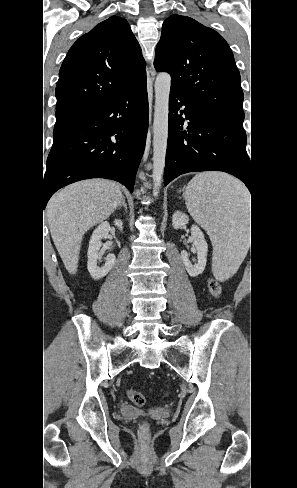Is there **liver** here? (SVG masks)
Instances as JSON below:
<instances>
[{
  "label": "liver",
  "mask_w": 297,
  "mask_h": 488,
  "mask_svg": "<svg viewBox=\"0 0 297 488\" xmlns=\"http://www.w3.org/2000/svg\"><path fill=\"white\" fill-rule=\"evenodd\" d=\"M122 200L119 186L103 179L76 182L49 200L46 217L51 236L70 274L77 272L84 234L107 219Z\"/></svg>",
  "instance_id": "liver-1"
}]
</instances>
